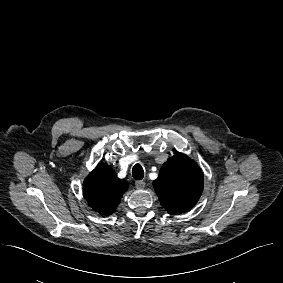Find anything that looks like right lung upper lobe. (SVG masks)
I'll return each instance as SVG.
<instances>
[{
	"label": "right lung upper lobe",
	"mask_w": 283,
	"mask_h": 283,
	"mask_svg": "<svg viewBox=\"0 0 283 283\" xmlns=\"http://www.w3.org/2000/svg\"><path fill=\"white\" fill-rule=\"evenodd\" d=\"M128 186L127 181L117 178L109 165L99 164L84 180L83 195L91 208L101 215H110Z\"/></svg>",
	"instance_id": "obj_1"
}]
</instances>
